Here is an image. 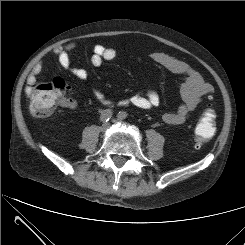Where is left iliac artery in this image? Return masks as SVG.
I'll use <instances>...</instances> for the list:
<instances>
[{"label":"left iliac artery","instance_id":"1","mask_svg":"<svg viewBox=\"0 0 245 245\" xmlns=\"http://www.w3.org/2000/svg\"><path fill=\"white\" fill-rule=\"evenodd\" d=\"M128 114L124 111L118 113V117L121 119H126Z\"/></svg>","mask_w":245,"mask_h":245}]
</instances>
